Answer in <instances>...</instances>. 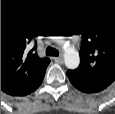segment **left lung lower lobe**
Masks as SVG:
<instances>
[{
	"mask_svg": "<svg viewBox=\"0 0 115 114\" xmlns=\"http://www.w3.org/2000/svg\"><path fill=\"white\" fill-rule=\"evenodd\" d=\"M68 77H69L70 82L73 84V86H75L77 89L85 93L99 92L107 87L106 85L100 84V83L81 81L78 79H74L69 75Z\"/></svg>",
	"mask_w": 115,
	"mask_h": 114,
	"instance_id": "1",
	"label": "left lung lower lobe"
}]
</instances>
